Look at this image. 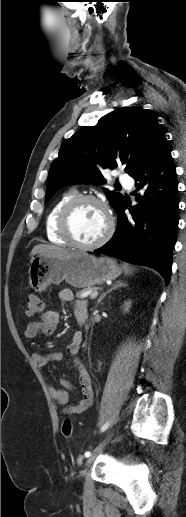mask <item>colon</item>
Wrapping results in <instances>:
<instances>
[{"mask_svg": "<svg viewBox=\"0 0 186 517\" xmlns=\"http://www.w3.org/2000/svg\"><path fill=\"white\" fill-rule=\"evenodd\" d=\"M44 305L41 298L36 294H30L26 300V313L28 316H34L42 313ZM62 434L65 438H71L73 434L72 421L67 418L62 424Z\"/></svg>", "mask_w": 186, "mask_h": 517, "instance_id": "obj_1", "label": "colon"}]
</instances>
